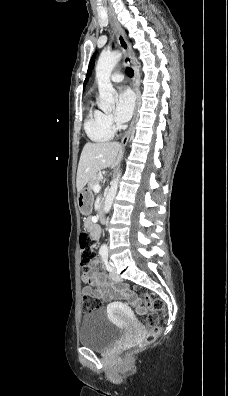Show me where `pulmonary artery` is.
<instances>
[{
	"label": "pulmonary artery",
	"instance_id": "obj_1",
	"mask_svg": "<svg viewBox=\"0 0 228 396\" xmlns=\"http://www.w3.org/2000/svg\"><path fill=\"white\" fill-rule=\"evenodd\" d=\"M124 76L120 72H116L111 76V80L115 83L121 82L123 80Z\"/></svg>",
	"mask_w": 228,
	"mask_h": 396
}]
</instances>
